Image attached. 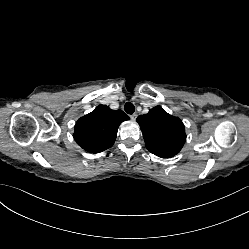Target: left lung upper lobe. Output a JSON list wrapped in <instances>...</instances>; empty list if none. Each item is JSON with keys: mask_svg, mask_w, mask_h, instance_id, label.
Wrapping results in <instances>:
<instances>
[{"mask_svg": "<svg viewBox=\"0 0 249 249\" xmlns=\"http://www.w3.org/2000/svg\"><path fill=\"white\" fill-rule=\"evenodd\" d=\"M136 121L142 130L145 145L151 153L161 158H170L182 149L186 140L184 124L161 106L138 116Z\"/></svg>", "mask_w": 249, "mask_h": 249, "instance_id": "left-lung-upper-lobe-1", "label": "left lung upper lobe"}]
</instances>
